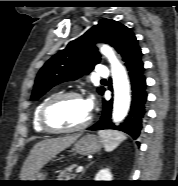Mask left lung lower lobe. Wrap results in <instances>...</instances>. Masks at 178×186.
<instances>
[{
	"label": "left lung lower lobe",
	"instance_id": "left-lung-lower-lobe-1",
	"mask_svg": "<svg viewBox=\"0 0 178 186\" xmlns=\"http://www.w3.org/2000/svg\"><path fill=\"white\" fill-rule=\"evenodd\" d=\"M141 57L142 53L126 63L132 90V102L127 117L120 125L115 126L111 120L112 100H103L102 116L88 130L115 129L129 134L133 139L138 138L142 130V121L146 113L145 103L147 100V85L144 76V64Z\"/></svg>",
	"mask_w": 178,
	"mask_h": 186
}]
</instances>
